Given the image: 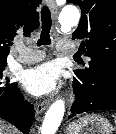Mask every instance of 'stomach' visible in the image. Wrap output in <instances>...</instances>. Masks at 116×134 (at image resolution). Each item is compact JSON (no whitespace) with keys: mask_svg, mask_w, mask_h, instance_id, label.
Instances as JSON below:
<instances>
[{"mask_svg":"<svg viewBox=\"0 0 116 134\" xmlns=\"http://www.w3.org/2000/svg\"><path fill=\"white\" fill-rule=\"evenodd\" d=\"M110 122L99 115H88L70 123L66 134H111Z\"/></svg>","mask_w":116,"mask_h":134,"instance_id":"1","label":"stomach"}]
</instances>
